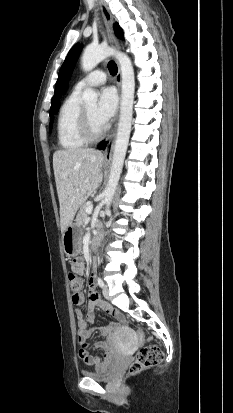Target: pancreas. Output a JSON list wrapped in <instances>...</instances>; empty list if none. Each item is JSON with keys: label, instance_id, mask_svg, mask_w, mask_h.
<instances>
[{"label": "pancreas", "instance_id": "1", "mask_svg": "<svg viewBox=\"0 0 233 413\" xmlns=\"http://www.w3.org/2000/svg\"><path fill=\"white\" fill-rule=\"evenodd\" d=\"M88 204H84L76 217V223L80 226L84 225L86 223V221L88 220V213L86 212V208L88 207Z\"/></svg>", "mask_w": 233, "mask_h": 413}]
</instances>
